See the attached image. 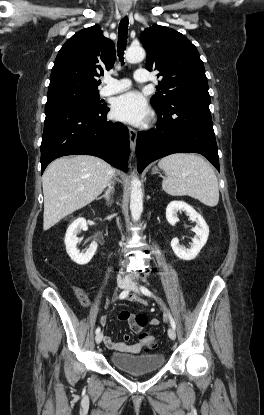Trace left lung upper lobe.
<instances>
[{"label": "left lung upper lobe", "mask_w": 264, "mask_h": 415, "mask_svg": "<svg viewBox=\"0 0 264 415\" xmlns=\"http://www.w3.org/2000/svg\"><path fill=\"white\" fill-rule=\"evenodd\" d=\"M147 51L146 69L162 76L150 102L163 107L185 96L210 97L205 69L196 47L181 33L153 26L141 34Z\"/></svg>", "instance_id": "left-lung-upper-lobe-1"}]
</instances>
